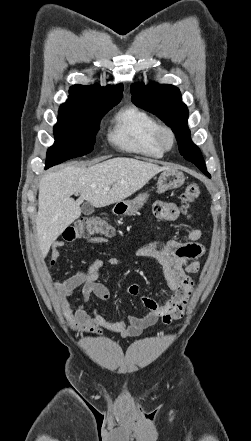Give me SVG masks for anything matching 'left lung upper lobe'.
<instances>
[{"mask_svg": "<svg viewBox=\"0 0 251 441\" xmlns=\"http://www.w3.org/2000/svg\"><path fill=\"white\" fill-rule=\"evenodd\" d=\"M132 101L135 105L157 115L175 133L180 154L194 163L210 177L199 148L190 138L187 127L188 109L182 102L179 89L169 84L143 83L131 86Z\"/></svg>", "mask_w": 251, "mask_h": 441, "instance_id": "obj_1", "label": "left lung upper lobe"}]
</instances>
